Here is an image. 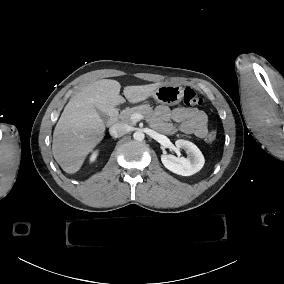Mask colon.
Listing matches in <instances>:
<instances>
[{"instance_id": "colon-1", "label": "colon", "mask_w": 284, "mask_h": 284, "mask_svg": "<svg viewBox=\"0 0 284 284\" xmlns=\"http://www.w3.org/2000/svg\"><path fill=\"white\" fill-rule=\"evenodd\" d=\"M184 103L188 106L194 105V106H201L204 103V99L200 96H197L196 92L191 89L187 88L184 93ZM216 139V134L211 132L207 134L206 141L208 143L214 142Z\"/></svg>"}]
</instances>
